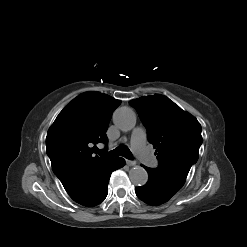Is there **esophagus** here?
Listing matches in <instances>:
<instances>
[{
    "label": "esophagus",
    "instance_id": "34e87169",
    "mask_svg": "<svg viewBox=\"0 0 247 247\" xmlns=\"http://www.w3.org/2000/svg\"><path fill=\"white\" fill-rule=\"evenodd\" d=\"M126 164L128 165V166H134V165H136V161H134V160H126Z\"/></svg>",
    "mask_w": 247,
    "mask_h": 247
}]
</instances>
